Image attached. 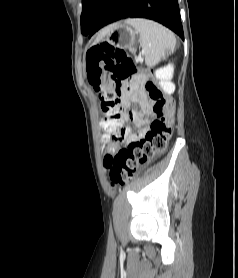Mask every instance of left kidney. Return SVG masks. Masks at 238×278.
<instances>
[{
	"mask_svg": "<svg viewBox=\"0 0 238 278\" xmlns=\"http://www.w3.org/2000/svg\"><path fill=\"white\" fill-rule=\"evenodd\" d=\"M173 72L174 67L172 64H168L154 72L155 77L159 80L160 87L167 94H172L175 91V85L171 82Z\"/></svg>",
	"mask_w": 238,
	"mask_h": 278,
	"instance_id": "obj_1",
	"label": "left kidney"
}]
</instances>
